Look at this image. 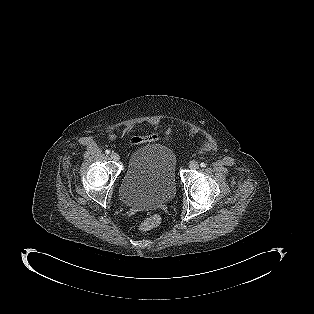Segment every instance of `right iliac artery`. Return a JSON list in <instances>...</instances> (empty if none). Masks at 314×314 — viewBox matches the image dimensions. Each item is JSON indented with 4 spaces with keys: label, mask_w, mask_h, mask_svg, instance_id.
I'll list each match as a JSON object with an SVG mask.
<instances>
[{
    "label": "right iliac artery",
    "mask_w": 314,
    "mask_h": 314,
    "mask_svg": "<svg viewBox=\"0 0 314 314\" xmlns=\"http://www.w3.org/2000/svg\"><path fill=\"white\" fill-rule=\"evenodd\" d=\"M105 153H106V154H110V150H106Z\"/></svg>",
    "instance_id": "right-iliac-artery-1"
}]
</instances>
